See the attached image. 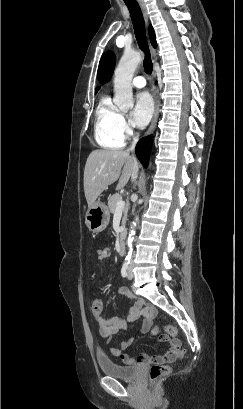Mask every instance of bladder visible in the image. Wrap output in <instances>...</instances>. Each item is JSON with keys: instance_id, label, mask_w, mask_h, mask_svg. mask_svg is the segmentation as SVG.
Here are the masks:
<instances>
[{"instance_id": "obj_1", "label": "bladder", "mask_w": 243, "mask_h": 409, "mask_svg": "<svg viewBox=\"0 0 243 409\" xmlns=\"http://www.w3.org/2000/svg\"><path fill=\"white\" fill-rule=\"evenodd\" d=\"M98 365L100 370L107 376L116 378L119 380H134L138 377L141 372V368L139 366H126L121 365L119 363L114 362L111 359H101L98 358Z\"/></svg>"}]
</instances>
